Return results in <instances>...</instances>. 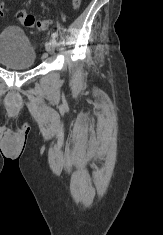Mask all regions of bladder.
Instances as JSON below:
<instances>
[{
	"label": "bladder",
	"mask_w": 163,
	"mask_h": 235,
	"mask_svg": "<svg viewBox=\"0 0 163 235\" xmlns=\"http://www.w3.org/2000/svg\"><path fill=\"white\" fill-rule=\"evenodd\" d=\"M37 59L36 48L18 26L0 31V64L10 69H31Z\"/></svg>",
	"instance_id": "obj_1"
}]
</instances>
